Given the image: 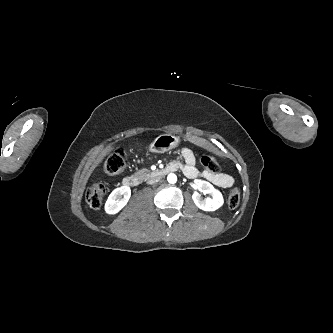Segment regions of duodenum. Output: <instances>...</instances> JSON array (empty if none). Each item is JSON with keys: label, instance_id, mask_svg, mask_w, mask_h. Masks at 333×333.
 <instances>
[{"label": "duodenum", "instance_id": "obj_1", "mask_svg": "<svg viewBox=\"0 0 333 333\" xmlns=\"http://www.w3.org/2000/svg\"><path fill=\"white\" fill-rule=\"evenodd\" d=\"M175 170H177V166L170 163L169 165L154 171L153 175L156 177H162ZM140 183L141 179L136 175H129L123 178V184L128 187H137Z\"/></svg>", "mask_w": 333, "mask_h": 333}]
</instances>
